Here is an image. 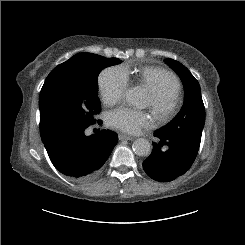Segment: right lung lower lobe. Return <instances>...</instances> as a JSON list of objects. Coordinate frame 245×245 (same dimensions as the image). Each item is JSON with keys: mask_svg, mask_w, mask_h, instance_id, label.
<instances>
[{"mask_svg": "<svg viewBox=\"0 0 245 245\" xmlns=\"http://www.w3.org/2000/svg\"><path fill=\"white\" fill-rule=\"evenodd\" d=\"M85 129L63 130L43 141L53 165L79 181L95 177L118 142V136L109 130L86 136Z\"/></svg>", "mask_w": 245, "mask_h": 245, "instance_id": "1", "label": "right lung lower lobe"}]
</instances>
